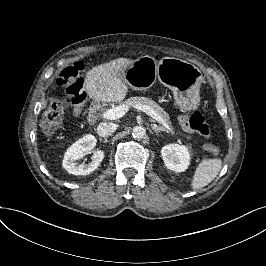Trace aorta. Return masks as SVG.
Masks as SVG:
<instances>
[{
    "label": "aorta",
    "mask_w": 266,
    "mask_h": 266,
    "mask_svg": "<svg viewBox=\"0 0 266 266\" xmlns=\"http://www.w3.org/2000/svg\"><path fill=\"white\" fill-rule=\"evenodd\" d=\"M132 137L137 140H142L146 137V130L143 126H136L132 129Z\"/></svg>",
    "instance_id": "aorta-1"
}]
</instances>
